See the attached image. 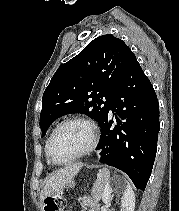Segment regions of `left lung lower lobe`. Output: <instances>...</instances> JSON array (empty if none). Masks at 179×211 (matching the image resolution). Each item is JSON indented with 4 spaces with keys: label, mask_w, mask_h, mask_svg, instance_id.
Masks as SVG:
<instances>
[{
    "label": "left lung lower lobe",
    "mask_w": 179,
    "mask_h": 211,
    "mask_svg": "<svg viewBox=\"0 0 179 211\" xmlns=\"http://www.w3.org/2000/svg\"><path fill=\"white\" fill-rule=\"evenodd\" d=\"M109 110L117 112L113 120L105 118L97 150L100 162L125 172L137 189L144 190L151 175L160 128L159 104L148 77L135 55L115 88Z\"/></svg>",
    "instance_id": "obj_1"
}]
</instances>
